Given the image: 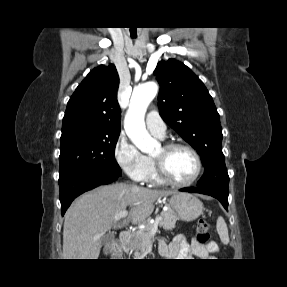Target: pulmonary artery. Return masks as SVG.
Segmentation results:
<instances>
[{
    "label": "pulmonary artery",
    "instance_id": "1",
    "mask_svg": "<svg viewBox=\"0 0 287 287\" xmlns=\"http://www.w3.org/2000/svg\"><path fill=\"white\" fill-rule=\"evenodd\" d=\"M146 125L148 130L159 138L166 135V125L157 111H150L146 116Z\"/></svg>",
    "mask_w": 287,
    "mask_h": 287
}]
</instances>
